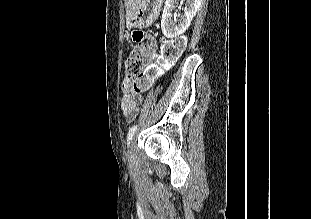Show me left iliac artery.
<instances>
[{
  "instance_id": "left-iliac-artery-1",
  "label": "left iliac artery",
  "mask_w": 311,
  "mask_h": 219,
  "mask_svg": "<svg viewBox=\"0 0 311 219\" xmlns=\"http://www.w3.org/2000/svg\"><path fill=\"white\" fill-rule=\"evenodd\" d=\"M137 130V125L132 126L127 134V142L130 143V140H132V137L134 136L135 131Z\"/></svg>"
}]
</instances>
